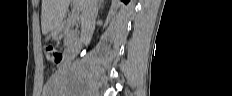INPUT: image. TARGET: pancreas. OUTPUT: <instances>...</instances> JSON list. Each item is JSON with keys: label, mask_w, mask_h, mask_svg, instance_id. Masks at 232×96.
<instances>
[{"label": "pancreas", "mask_w": 232, "mask_h": 96, "mask_svg": "<svg viewBox=\"0 0 232 96\" xmlns=\"http://www.w3.org/2000/svg\"><path fill=\"white\" fill-rule=\"evenodd\" d=\"M74 24L73 20H68L64 30V46L67 49H74L77 46L78 39L76 31L70 30V26H74Z\"/></svg>", "instance_id": "1"}]
</instances>
